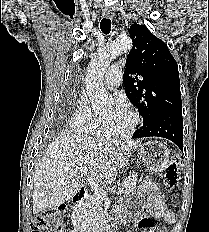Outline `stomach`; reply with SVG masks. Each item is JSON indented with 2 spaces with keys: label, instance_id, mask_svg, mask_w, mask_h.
<instances>
[{
  "label": "stomach",
  "instance_id": "stomach-1",
  "mask_svg": "<svg viewBox=\"0 0 209 232\" xmlns=\"http://www.w3.org/2000/svg\"><path fill=\"white\" fill-rule=\"evenodd\" d=\"M138 156L146 169L153 173L165 170L170 163V152L159 141L149 140L139 145Z\"/></svg>",
  "mask_w": 209,
  "mask_h": 232
}]
</instances>
